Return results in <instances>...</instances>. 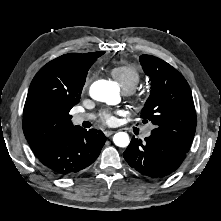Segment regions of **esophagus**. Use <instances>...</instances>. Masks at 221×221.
<instances>
[{
	"instance_id": "1",
	"label": "esophagus",
	"mask_w": 221,
	"mask_h": 221,
	"mask_svg": "<svg viewBox=\"0 0 221 221\" xmlns=\"http://www.w3.org/2000/svg\"><path fill=\"white\" fill-rule=\"evenodd\" d=\"M114 133H115L114 130H106V131L104 132L105 136H107V137L111 136V135L114 134Z\"/></svg>"
}]
</instances>
